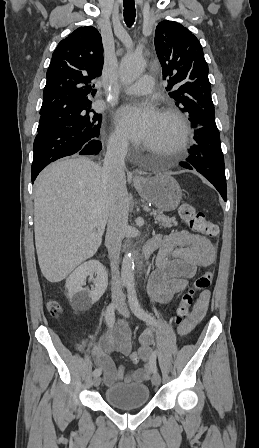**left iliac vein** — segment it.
Masks as SVG:
<instances>
[{
	"instance_id": "4c4485c4",
	"label": "left iliac vein",
	"mask_w": 259,
	"mask_h": 448,
	"mask_svg": "<svg viewBox=\"0 0 259 448\" xmlns=\"http://www.w3.org/2000/svg\"><path fill=\"white\" fill-rule=\"evenodd\" d=\"M117 310L124 316V317H129V311L128 308L126 306V303L124 301L123 298H120L118 304H117ZM152 383L155 386H158L161 383V377L159 375V373L155 372L153 377H152Z\"/></svg>"
}]
</instances>
